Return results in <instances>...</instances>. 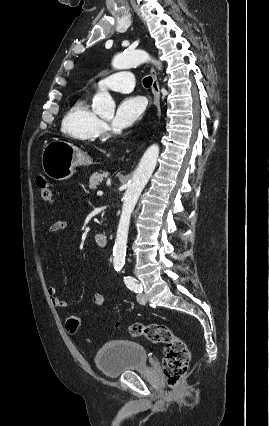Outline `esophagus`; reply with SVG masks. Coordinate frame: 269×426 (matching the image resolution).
<instances>
[{"label": "esophagus", "instance_id": "obj_1", "mask_svg": "<svg viewBox=\"0 0 269 426\" xmlns=\"http://www.w3.org/2000/svg\"><path fill=\"white\" fill-rule=\"evenodd\" d=\"M151 75H152V92H153V104L157 110V114L159 115L160 112V88H159V83L157 80V74L155 69L152 67L151 68Z\"/></svg>", "mask_w": 269, "mask_h": 426}]
</instances>
